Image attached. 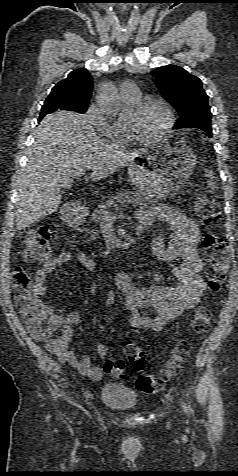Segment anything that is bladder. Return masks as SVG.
Instances as JSON below:
<instances>
[{
    "label": "bladder",
    "instance_id": "31cf9c89",
    "mask_svg": "<svg viewBox=\"0 0 238 476\" xmlns=\"http://www.w3.org/2000/svg\"><path fill=\"white\" fill-rule=\"evenodd\" d=\"M100 399L105 406L120 411L133 409L137 405V394L120 384H106Z\"/></svg>",
    "mask_w": 238,
    "mask_h": 476
}]
</instances>
